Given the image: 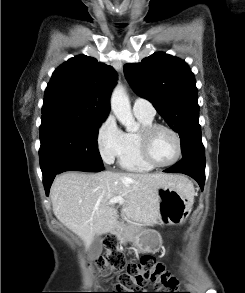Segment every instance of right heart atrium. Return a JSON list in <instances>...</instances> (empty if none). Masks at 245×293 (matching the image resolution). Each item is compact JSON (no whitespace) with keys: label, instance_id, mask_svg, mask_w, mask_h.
Segmentation results:
<instances>
[{"label":"right heart atrium","instance_id":"right-heart-atrium-1","mask_svg":"<svg viewBox=\"0 0 245 293\" xmlns=\"http://www.w3.org/2000/svg\"><path fill=\"white\" fill-rule=\"evenodd\" d=\"M96 142L103 161L107 164L114 162L124 148L125 133L119 128L112 116H107L100 124Z\"/></svg>","mask_w":245,"mask_h":293}]
</instances>
